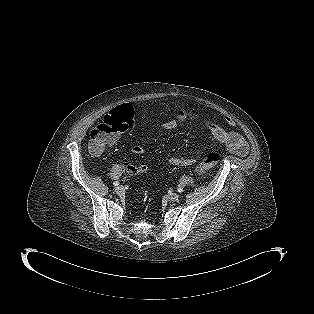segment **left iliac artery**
I'll use <instances>...</instances> for the list:
<instances>
[{"label": "left iliac artery", "mask_w": 314, "mask_h": 314, "mask_svg": "<svg viewBox=\"0 0 314 314\" xmlns=\"http://www.w3.org/2000/svg\"><path fill=\"white\" fill-rule=\"evenodd\" d=\"M177 191H178L179 193H182V192H183V188H182V187H178Z\"/></svg>", "instance_id": "44dca946"}]
</instances>
